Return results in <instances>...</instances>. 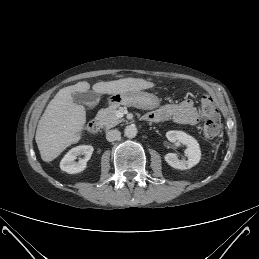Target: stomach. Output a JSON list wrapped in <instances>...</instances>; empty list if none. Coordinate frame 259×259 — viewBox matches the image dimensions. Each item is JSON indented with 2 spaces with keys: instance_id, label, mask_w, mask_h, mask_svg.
I'll use <instances>...</instances> for the list:
<instances>
[{
  "instance_id": "obj_1",
  "label": "stomach",
  "mask_w": 259,
  "mask_h": 259,
  "mask_svg": "<svg viewBox=\"0 0 259 259\" xmlns=\"http://www.w3.org/2000/svg\"><path fill=\"white\" fill-rule=\"evenodd\" d=\"M108 104L111 106L127 105L151 110L160 105V99L152 93L129 91L113 94L108 99Z\"/></svg>"
}]
</instances>
